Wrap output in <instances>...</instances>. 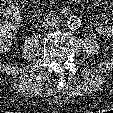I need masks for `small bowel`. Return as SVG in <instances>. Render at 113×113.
<instances>
[{
	"instance_id": "small-bowel-1",
	"label": "small bowel",
	"mask_w": 113,
	"mask_h": 113,
	"mask_svg": "<svg viewBox=\"0 0 113 113\" xmlns=\"http://www.w3.org/2000/svg\"><path fill=\"white\" fill-rule=\"evenodd\" d=\"M98 1H104V0H98ZM11 12L14 21L18 22L20 20V12L15 9L11 10ZM97 31L102 36L113 37V23L110 24L97 23Z\"/></svg>"
}]
</instances>
